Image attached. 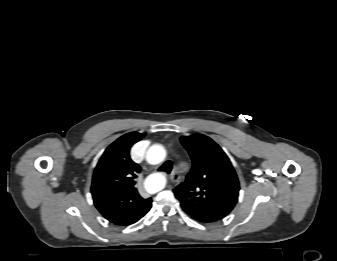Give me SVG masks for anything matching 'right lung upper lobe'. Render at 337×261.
<instances>
[{
	"mask_svg": "<svg viewBox=\"0 0 337 261\" xmlns=\"http://www.w3.org/2000/svg\"><path fill=\"white\" fill-rule=\"evenodd\" d=\"M145 133H127L114 141L100 158L92 180L91 193L99 212L110 222L126 226L137 222L151 208L136 188L140 166L130 158V148Z\"/></svg>",
	"mask_w": 337,
	"mask_h": 261,
	"instance_id": "right-lung-upper-lobe-1",
	"label": "right lung upper lobe"
}]
</instances>
